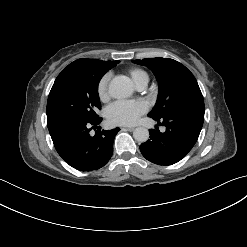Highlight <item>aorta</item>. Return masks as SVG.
I'll list each match as a JSON object with an SVG mask.
<instances>
[{
    "label": "aorta",
    "instance_id": "1",
    "mask_svg": "<svg viewBox=\"0 0 247 247\" xmlns=\"http://www.w3.org/2000/svg\"><path fill=\"white\" fill-rule=\"evenodd\" d=\"M108 92L112 98L126 99L133 94V87L128 81L115 77L109 84ZM133 137L137 142H146L149 139V131L144 127H137L133 131Z\"/></svg>",
    "mask_w": 247,
    "mask_h": 247
}]
</instances>
